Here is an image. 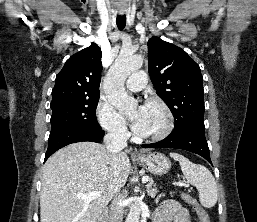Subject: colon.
Returning <instances> with one entry per match:
<instances>
[{
    "instance_id": "obj_1",
    "label": "colon",
    "mask_w": 257,
    "mask_h": 222,
    "mask_svg": "<svg viewBox=\"0 0 257 222\" xmlns=\"http://www.w3.org/2000/svg\"><path fill=\"white\" fill-rule=\"evenodd\" d=\"M181 196L184 201H186L187 203L191 204L194 207L196 213L198 214L200 222H210L208 214L205 212V210L202 207H200L196 203L195 199L191 195L187 193H182Z\"/></svg>"
}]
</instances>
